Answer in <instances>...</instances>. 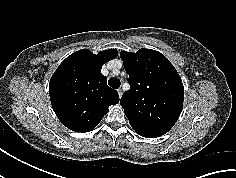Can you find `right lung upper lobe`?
<instances>
[{
    "label": "right lung upper lobe",
    "instance_id": "cb5924a9",
    "mask_svg": "<svg viewBox=\"0 0 236 178\" xmlns=\"http://www.w3.org/2000/svg\"><path fill=\"white\" fill-rule=\"evenodd\" d=\"M117 50L93 54L87 49L68 56L50 79L49 95L53 110L67 128L88 132L101 121L110 105L119 102L117 91L107 86L101 74L103 64L114 59Z\"/></svg>",
    "mask_w": 236,
    "mask_h": 178
}]
</instances>
